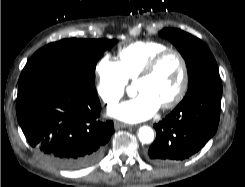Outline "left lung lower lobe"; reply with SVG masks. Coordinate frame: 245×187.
Here are the masks:
<instances>
[{
  "label": "left lung lower lobe",
  "mask_w": 245,
  "mask_h": 187,
  "mask_svg": "<svg viewBox=\"0 0 245 187\" xmlns=\"http://www.w3.org/2000/svg\"><path fill=\"white\" fill-rule=\"evenodd\" d=\"M221 94V81L187 94L165 119L154 125L156 139L147 158L158 164H173L198 152L217 130Z\"/></svg>",
  "instance_id": "left-lung-lower-lobe-1"
}]
</instances>
